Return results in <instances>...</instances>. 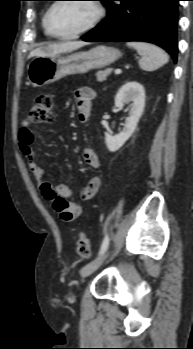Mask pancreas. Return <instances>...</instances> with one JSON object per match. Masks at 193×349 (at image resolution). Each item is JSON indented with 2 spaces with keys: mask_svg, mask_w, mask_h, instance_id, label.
<instances>
[{
  "mask_svg": "<svg viewBox=\"0 0 193 349\" xmlns=\"http://www.w3.org/2000/svg\"><path fill=\"white\" fill-rule=\"evenodd\" d=\"M111 71H112V69H106L104 71H98L96 73L97 80L100 81V82L101 81H105L106 78L110 75Z\"/></svg>",
  "mask_w": 193,
  "mask_h": 349,
  "instance_id": "pancreas-1",
  "label": "pancreas"
}]
</instances>
